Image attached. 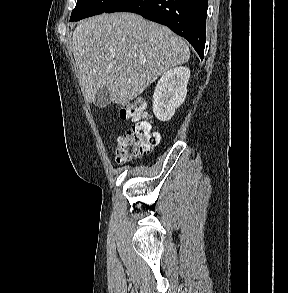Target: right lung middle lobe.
I'll use <instances>...</instances> for the list:
<instances>
[{
  "label": "right lung middle lobe",
  "mask_w": 288,
  "mask_h": 293,
  "mask_svg": "<svg viewBox=\"0 0 288 293\" xmlns=\"http://www.w3.org/2000/svg\"><path fill=\"white\" fill-rule=\"evenodd\" d=\"M118 1L119 0H77L70 21H78L89 16L101 14Z\"/></svg>",
  "instance_id": "obj_1"
}]
</instances>
